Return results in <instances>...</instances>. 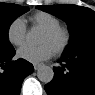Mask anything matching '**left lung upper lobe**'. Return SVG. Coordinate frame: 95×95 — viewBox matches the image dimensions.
<instances>
[{
    "label": "left lung upper lobe",
    "instance_id": "left-lung-upper-lobe-1",
    "mask_svg": "<svg viewBox=\"0 0 95 95\" xmlns=\"http://www.w3.org/2000/svg\"><path fill=\"white\" fill-rule=\"evenodd\" d=\"M65 20L71 33L70 43L65 53H76L95 48V12L77 5L37 6Z\"/></svg>",
    "mask_w": 95,
    "mask_h": 95
}]
</instances>
